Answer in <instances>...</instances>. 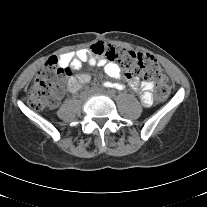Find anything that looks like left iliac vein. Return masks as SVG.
I'll use <instances>...</instances> for the list:
<instances>
[{"instance_id":"obj_1","label":"left iliac vein","mask_w":207,"mask_h":207,"mask_svg":"<svg viewBox=\"0 0 207 207\" xmlns=\"http://www.w3.org/2000/svg\"><path fill=\"white\" fill-rule=\"evenodd\" d=\"M93 94L94 93H102V94H106L108 96H114L115 95V91L114 90H110V91H105L103 89H99V90H92Z\"/></svg>"}]
</instances>
